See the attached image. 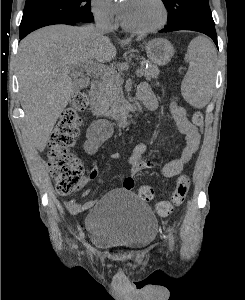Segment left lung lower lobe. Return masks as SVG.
Wrapping results in <instances>:
<instances>
[{
  "instance_id": "left-lung-lower-lobe-1",
  "label": "left lung lower lobe",
  "mask_w": 245,
  "mask_h": 300,
  "mask_svg": "<svg viewBox=\"0 0 245 300\" xmlns=\"http://www.w3.org/2000/svg\"><path fill=\"white\" fill-rule=\"evenodd\" d=\"M176 30H192L206 34L213 39L214 43L218 47L215 24L194 19H183L177 24L166 26V28L160 30L159 32H170Z\"/></svg>"
}]
</instances>
